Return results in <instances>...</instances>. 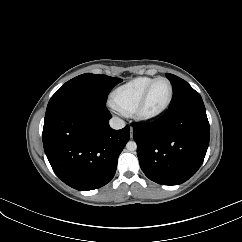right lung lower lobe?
<instances>
[{"label": "right lung lower lobe", "instance_id": "98d812e1", "mask_svg": "<svg viewBox=\"0 0 242 242\" xmlns=\"http://www.w3.org/2000/svg\"><path fill=\"white\" fill-rule=\"evenodd\" d=\"M89 99L62 102L46 110L43 146L55 174L67 185L86 191L113 178L130 127L114 130L105 106Z\"/></svg>", "mask_w": 242, "mask_h": 242}]
</instances>
